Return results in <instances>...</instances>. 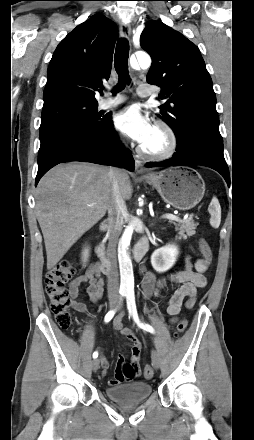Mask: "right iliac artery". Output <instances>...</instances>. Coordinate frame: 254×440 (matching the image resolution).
<instances>
[{"label": "right iliac artery", "mask_w": 254, "mask_h": 440, "mask_svg": "<svg viewBox=\"0 0 254 440\" xmlns=\"http://www.w3.org/2000/svg\"><path fill=\"white\" fill-rule=\"evenodd\" d=\"M121 296H124V293H122ZM114 314H115V310L109 311L105 315V318H104L105 322H109L113 318ZM97 357H98V352L95 351L93 353V358H97Z\"/></svg>", "instance_id": "1"}]
</instances>
